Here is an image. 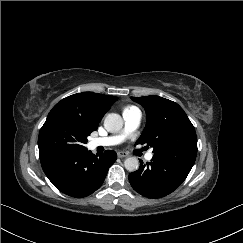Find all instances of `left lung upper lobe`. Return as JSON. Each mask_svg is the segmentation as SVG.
<instances>
[{
    "instance_id": "1",
    "label": "left lung upper lobe",
    "mask_w": 243,
    "mask_h": 243,
    "mask_svg": "<svg viewBox=\"0 0 243 243\" xmlns=\"http://www.w3.org/2000/svg\"><path fill=\"white\" fill-rule=\"evenodd\" d=\"M146 110V126L136 144H146L153 152L182 146L197 145L194 126L175 102L159 97H131Z\"/></svg>"
}]
</instances>
